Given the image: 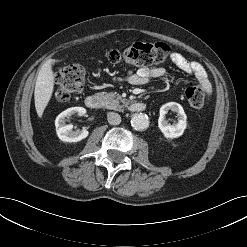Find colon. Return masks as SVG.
Returning a JSON list of instances; mask_svg holds the SVG:
<instances>
[{
  "label": "colon",
  "mask_w": 247,
  "mask_h": 247,
  "mask_svg": "<svg viewBox=\"0 0 247 247\" xmlns=\"http://www.w3.org/2000/svg\"><path fill=\"white\" fill-rule=\"evenodd\" d=\"M170 48L165 43L136 42L122 50H110L105 57L108 62L127 63L135 66H150L163 63L169 56ZM86 80L85 68L79 63L62 67L56 74V98L66 101L79 94ZM190 107L198 109L204 104L205 95L200 86H190L185 90Z\"/></svg>",
  "instance_id": "obj_1"
}]
</instances>
